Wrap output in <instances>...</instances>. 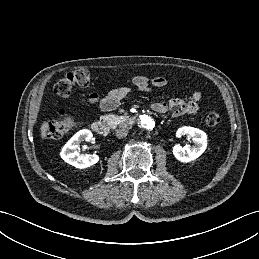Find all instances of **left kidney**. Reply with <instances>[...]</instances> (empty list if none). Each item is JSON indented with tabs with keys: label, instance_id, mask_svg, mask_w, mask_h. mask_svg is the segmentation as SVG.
Instances as JSON below:
<instances>
[{
	"label": "left kidney",
	"instance_id": "1",
	"mask_svg": "<svg viewBox=\"0 0 259 259\" xmlns=\"http://www.w3.org/2000/svg\"><path fill=\"white\" fill-rule=\"evenodd\" d=\"M177 135H188L195 143L194 146L182 147L180 144H176L173 147V155L180 162L188 163L197 159L207 148V135L200 129L185 126L177 130Z\"/></svg>",
	"mask_w": 259,
	"mask_h": 259
}]
</instances>
